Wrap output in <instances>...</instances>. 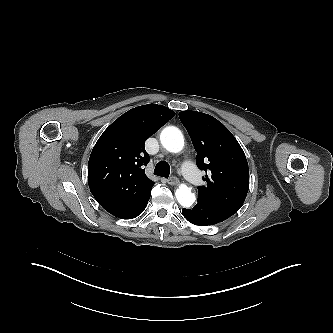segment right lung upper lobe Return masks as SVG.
<instances>
[{
  "label": "right lung upper lobe",
  "instance_id": "1",
  "mask_svg": "<svg viewBox=\"0 0 333 333\" xmlns=\"http://www.w3.org/2000/svg\"><path fill=\"white\" fill-rule=\"evenodd\" d=\"M175 113L147 104L115 120L100 136L88 163V183L95 199L112 215L124 218L151 193L155 184L144 167L150 158L144 143Z\"/></svg>",
  "mask_w": 333,
  "mask_h": 333
}]
</instances>
